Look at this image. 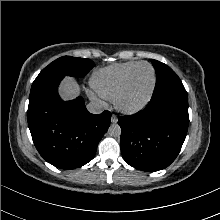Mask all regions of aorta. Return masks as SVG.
<instances>
[{"label":"aorta","mask_w":220,"mask_h":220,"mask_svg":"<svg viewBox=\"0 0 220 220\" xmlns=\"http://www.w3.org/2000/svg\"><path fill=\"white\" fill-rule=\"evenodd\" d=\"M108 133L112 137H119L121 135V127L118 124L110 125Z\"/></svg>","instance_id":"1"}]
</instances>
